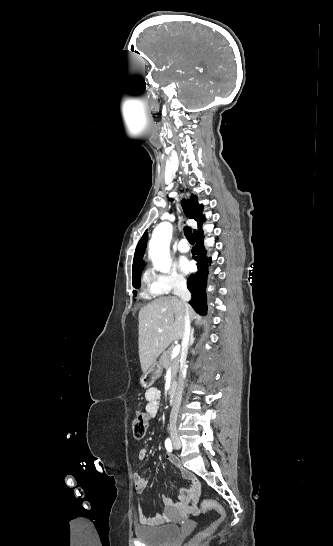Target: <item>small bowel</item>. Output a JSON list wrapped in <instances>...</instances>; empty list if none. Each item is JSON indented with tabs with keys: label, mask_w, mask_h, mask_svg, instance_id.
I'll list each match as a JSON object with an SVG mask.
<instances>
[{
	"label": "small bowel",
	"mask_w": 333,
	"mask_h": 546,
	"mask_svg": "<svg viewBox=\"0 0 333 546\" xmlns=\"http://www.w3.org/2000/svg\"><path fill=\"white\" fill-rule=\"evenodd\" d=\"M146 399V411L152 418L156 417L160 409L161 392L158 388H149L145 392ZM147 456V449L141 448L138 451V460L143 461ZM167 460L174 466L179 467L181 476L188 482L186 486L180 488L178 498L173 500L167 495L161 497L162 503L165 507L163 513H159L153 517H148L141 507L138 508L139 522L146 526H159L169 521L172 512H178L184 517L198 515L199 510L197 507L198 500L200 498V483L196 477L186 468L182 467L177 458L167 453ZM133 481L135 490L138 494L145 492L149 485V481L146 477L140 473L133 474Z\"/></svg>",
	"instance_id": "small-bowel-1"
}]
</instances>
